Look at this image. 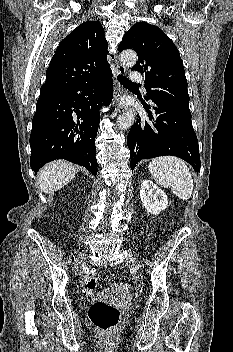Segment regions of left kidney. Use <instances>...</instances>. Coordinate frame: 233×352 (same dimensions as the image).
<instances>
[{"label": "left kidney", "instance_id": "obj_1", "mask_svg": "<svg viewBox=\"0 0 233 352\" xmlns=\"http://www.w3.org/2000/svg\"><path fill=\"white\" fill-rule=\"evenodd\" d=\"M140 199L148 214L158 215L168 206V198L164 191L150 180L142 181Z\"/></svg>", "mask_w": 233, "mask_h": 352}]
</instances>
